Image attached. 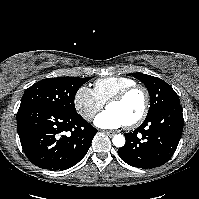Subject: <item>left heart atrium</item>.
<instances>
[{
  "mask_svg": "<svg viewBox=\"0 0 199 199\" xmlns=\"http://www.w3.org/2000/svg\"><path fill=\"white\" fill-rule=\"evenodd\" d=\"M94 124L103 129H116L124 126L125 122L114 111L106 110L95 118Z\"/></svg>",
  "mask_w": 199,
  "mask_h": 199,
  "instance_id": "left-heart-atrium-1",
  "label": "left heart atrium"
}]
</instances>
